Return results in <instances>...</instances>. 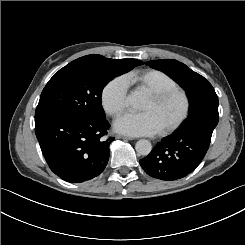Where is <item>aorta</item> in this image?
I'll return each instance as SVG.
<instances>
[{"instance_id":"762f6f07","label":"aorta","mask_w":245,"mask_h":245,"mask_svg":"<svg viewBox=\"0 0 245 245\" xmlns=\"http://www.w3.org/2000/svg\"><path fill=\"white\" fill-rule=\"evenodd\" d=\"M128 101L131 103V105L138 106L142 102V97L138 93H133L128 96ZM135 149L139 155L147 156L152 150V145L150 141L146 139H140L136 142Z\"/></svg>"}]
</instances>
